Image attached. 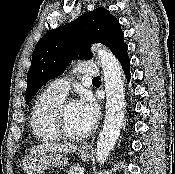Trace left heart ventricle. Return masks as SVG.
I'll use <instances>...</instances> for the list:
<instances>
[{"label": "left heart ventricle", "mask_w": 175, "mask_h": 174, "mask_svg": "<svg viewBox=\"0 0 175 174\" xmlns=\"http://www.w3.org/2000/svg\"><path fill=\"white\" fill-rule=\"evenodd\" d=\"M64 122L67 130L73 134H80L90 128L80 111L78 103L68 105L64 115Z\"/></svg>", "instance_id": "b2bd125f"}]
</instances>
